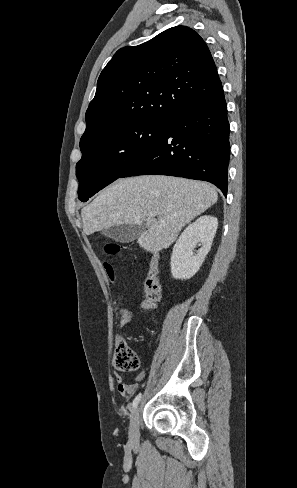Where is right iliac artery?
<instances>
[{
	"instance_id": "1",
	"label": "right iliac artery",
	"mask_w": 297,
	"mask_h": 488,
	"mask_svg": "<svg viewBox=\"0 0 297 488\" xmlns=\"http://www.w3.org/2000/svg\"><path fill=\"white\" fill-rule=\"evenodd\" d=\"M141 397H142V394H141V393H139V394H138V395L135 397V399L133 400V403H132V407H133V408H135V407H136V406L139 404V402H140V400H141Z\"/></svg>"
}]
</instances>
